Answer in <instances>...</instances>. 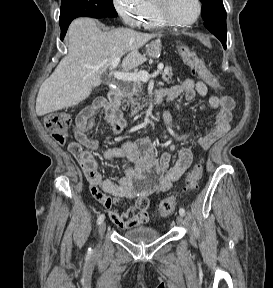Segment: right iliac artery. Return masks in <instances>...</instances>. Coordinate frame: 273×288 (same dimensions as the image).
I'll use <instances>...</instances> for the list:
<instances>
[{
    "instance_id": "obj_1",
    "label": "right iliac artery",
    "mask_w": 273,
    "mask_h": 288,
    "mask_svg": "<svg viewBox=\"0 0 273 288\" xmlns=\"http://www.w3.org/2000/svg\"><path fill=\"white\" fill-rule=\"evenodd\" d=\"M105 215L101 214L97 219V224H101L104 221ZM89 253H91V249H89Z\"/></svg>"
}]
</instances>
